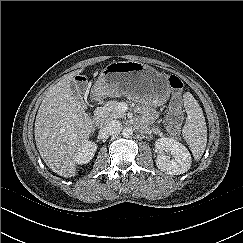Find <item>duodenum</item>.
I'll return each instance as SVG.
<instances>
[{"label": "duodenum", "mask_w": 243, "mask_h": 243, "mask_svg": "<svg viewBox=\"0 0 243 243\" xmlns=\"http://www.w3.org/2000/svg\"><path fill=\"white\" fill-rule=\"evenodd\" d=\"M92 120L95 124H100L102 123L103 120V115L101 111H94L92 114Z\"/></svg>", "instance_id": "410a0bca"}]
</instances>
